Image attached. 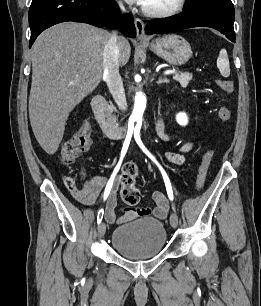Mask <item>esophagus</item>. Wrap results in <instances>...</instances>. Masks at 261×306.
<instances>
[{"label":"esophagus","mask_w":261,"mask_h":306,"mask_svg":"<svg viewBox=\"0 0 261 306\" xmlns=\"http://www.w3.org/2000/svg\"><path fill=\"white\" fill-rule=\"evenodd\" d=\"M134 24H135V28H136L137 38L139 40H142V41L148 40V37L145 34L144 22L139 18H135Z\"/></svg>","instance_id":"esophagus-1"}]
</instances>
